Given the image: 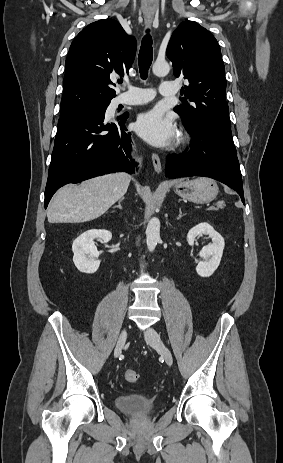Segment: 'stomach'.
<instances>
[{"mask_svg": "<svg viewBox=\"0 0 283 463\" xmlns=\"http://www.w3.org/2000/svg\"><path fill=\"white\" fill-rule=\"evenodd\" d=\"M175 193L195 203H207L218 194L217 183L209 178L200 177L194 180L177 181L173 185Z\"/></svg>", "mask_w": 283, "mask_h": 463, "instance_id": "stomach-1", "label": "stomach"}]
</instances>
